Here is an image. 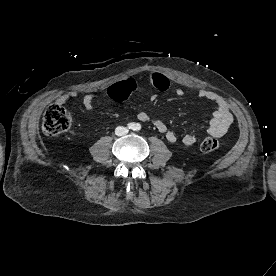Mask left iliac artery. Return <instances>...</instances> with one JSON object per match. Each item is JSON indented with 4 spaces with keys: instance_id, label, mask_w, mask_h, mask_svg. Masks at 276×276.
I'll use <instances>...</instances> for the list:
<instances>
[{
    "instance_id": "obj_1",
    "label": "left iliac artery",
    "mask_w": 276,
    "mask_h": 276,
    "mask_svg": "<svg viewBox=\"0 0 276 276\" xmlns=\"http://www.w3.org/2000/svg\"><path fill=\"white\" fill-rule=\"evenodd\" d=\"M141 129V126L139 124L136 125L135 130L139 131Z\"/></svg>"
}]
</instances>
